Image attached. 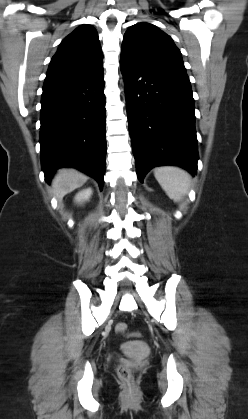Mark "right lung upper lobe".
<instances>
[{
    "instance_id": "1",
    "label": "right lung upper lobe",
    "mask_w": 248,
    "mask_h": 419,
    "mask_svg": "<svg viewBox=\"0 0 248 419\" xmlns=\"http://www.w3.org/2000/svg\"><path fill=\"white\" fill-rule=\"evenodd\" d=\"M103 55L96 30L90 25L75 29L60 43L44 84L86 76L102 66Z\"/></svg>"
}]
</instances>
